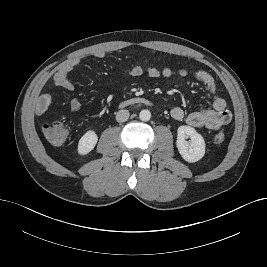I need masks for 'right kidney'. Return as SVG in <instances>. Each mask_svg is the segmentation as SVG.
<instances>
[{
  "label": "right kidney",
  "mask_w": 267,
  "mask_h": 267,
  "mask_svg": "<svg viewBox=\"0 0 267 267\" xmlns=\"http://www.w3.org/2000/svg\"><path fill=\"white\" fill-rule=\"evenodd\" d=\"M98 136L93 130L87 131L79 140L78 153L86 155L92 151L97 144Z\"/></svg>",
  "instance_id": "1"
}]
</instances>
